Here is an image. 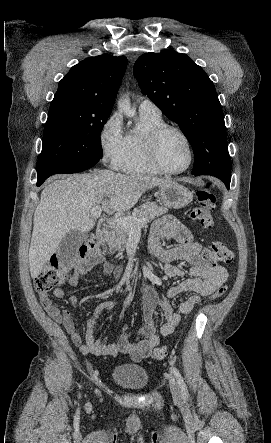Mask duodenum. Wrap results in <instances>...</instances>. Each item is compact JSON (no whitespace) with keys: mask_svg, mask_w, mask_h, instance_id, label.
<instances>
[{"mask_svg":"<svg viewBox=\"0 0 271 443\" xmlns=\"http://www.w3.org/2000/svg\"><path fill=\"white\" fill-rule=\"evenodd\" d=\"M97 238L101 241H109L112 238V233L109 230L101 229L97 231Z\"/></svg>","mask_w":271,"mask_h":443,"instance_id":"410a0bca","label":"duodenum"}]
</instances>
